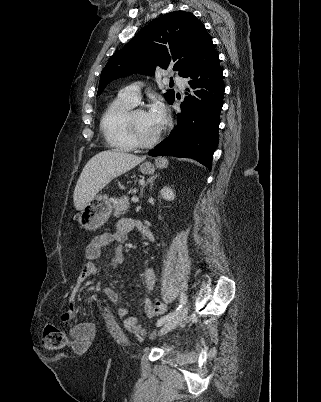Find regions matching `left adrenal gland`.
<instances>
[{"mask_svg":"<svg viewBox=\"0 0 321 402\" xmlns=\"http://www.w3.org/2000/svg\"><path fill=\"white\" fill-rule=\"evenodd\" d=\"M158 176H159L158 174H155V175L151 176L149 179H147L146 184H145V185L143 186V188L141 189V194H140L141 197H143V190H144V187H145L147 184H149V183H153L154 179H156Z\"/></svg>","mask_w":321,"mask_h":402,"instance_id":"1","label":"left adrenal gland"}]
</instances>
